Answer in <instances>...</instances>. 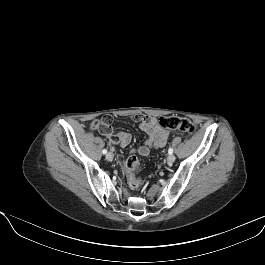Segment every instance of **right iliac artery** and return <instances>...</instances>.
I'll return each mask as SVG.
<instances>
[{"mask_svg": "<svg viewBox=\"0 0 265 265\" xmlns=\"http://www.w3.org/2000/svg\"><path fill=\"white\" fill-rule=\"evenodd\" d=\"M102 153L103 154H106L107 153V150L106 149H103Z\"/></svg>", "mask_w": 265, "mask_h": 265, "instance_id": "right-iliac-artery-1", "label": "right iliac artery"}]
</instances>
